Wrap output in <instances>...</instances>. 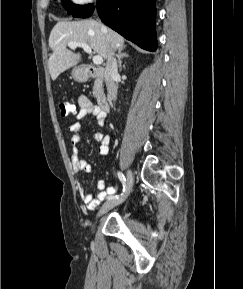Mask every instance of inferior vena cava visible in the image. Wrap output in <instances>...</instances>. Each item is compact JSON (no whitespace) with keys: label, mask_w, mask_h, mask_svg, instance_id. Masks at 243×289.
<instances>
[{"label":"inferior vena cava","mask_w":243,"mask_h":289,"mask_svg":"<svg viewBox=\"0 0 243 289\" xmlns=\"http://www.w3.org/2000/svg\"><path fill=\"white\" fill-rule=\"evenodd\" d=\"M118 76L117 61L114 58V53L109 50L105 69V82L108 91V98L111 100H115L117 98V86L115 84V79Z\"/></svg>","instance_id":"1"}]
</instances>
